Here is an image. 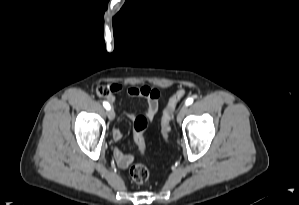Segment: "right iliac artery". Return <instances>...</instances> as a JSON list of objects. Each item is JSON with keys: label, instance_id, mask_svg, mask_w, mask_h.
<instances>
[{"label": "right iliac artery", "instance_id": "right-iliac-artery-1", "mask_svg": "<svg viewBox=\"0 0 299 205\" xmlns=\"http://www.w3.org/2000/svg\"><path fill=\"white\" fill-rule=\"evenodd\" d=\"M103 106H104L107 110L110 109V105H109V103L106 102V101L103 102Z\"/></svg>", "mask_w": 299, "mask_h": 205}]
</instances>
